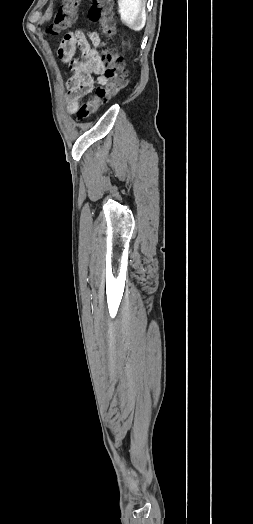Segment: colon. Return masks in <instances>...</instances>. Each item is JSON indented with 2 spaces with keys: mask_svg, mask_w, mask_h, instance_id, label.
<instances>
[{
  "mask_svg": "<svg viewBox=\"0 0 253 524\" xmlns=\"http://www.w3.org/2000/svg\"><path fill=\"white\" fill-rule=\"evenodd\" d=\"M80 0H63L53 22L46 32L50 36H58L68 30L74 23ZM114 0H93L89 10V18L99 24L104 37L103 61L104 76L107 84L96 89L94 96L80 103L75 116L78 121L91 117L96 107L107 102L123 90L127 84V74L124 70V61L109 46L108 40L114 34V20L112 15Z\"/></svg>",
  "mask_w": 253,
  "mask_h": 524,
  "instance_id": "colon-1",
  "label": "colon"
}]
</instances>
